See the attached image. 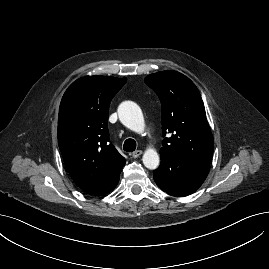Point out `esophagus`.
I'll return each instance as SVG.
<instances>
[{"label":"esophagus","mask_w":269,"mask_h":269,"mask_svg":"<svg viewBox=\"0 0 269 269\" xmlns=\"http://www.w3.org/2000/svg\"><path fill=\"white\" fill-rule=\"evenodd\" d=\"M142 150H136L134 152H132L130 155L133 157V158H137L139 157L140 155H142Z\"/></svg>","instance_id":"obj_1"}]
</instances>
